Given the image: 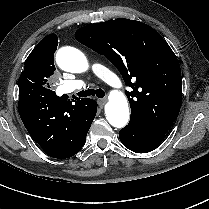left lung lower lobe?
<instances>
[{
  "label": "left lung lower lobe",
  "instance_id": "0a47b994",
  "mask_svg": "<svg viewBox=\"0 0 209 209\" xmlns=\"http://www.w3.org/2000/svg\"><path fill=\"white\" fill-rule=\"evenodd\" d=\"M122 144L136 153H147L156 149L165 138L158 132L136 118H130L126 127L119 132Z\"/></svg>",
  "mask_w": 209,
  "mask_h": 209
}]
</instances>
